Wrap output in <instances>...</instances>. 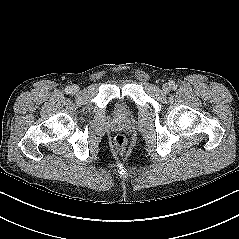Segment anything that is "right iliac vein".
<instances>
[{
    "mask_svg": "<svg viewBox=\"0 0 239 239\" xmlns=\"http://www.w3.org/2000/svg\"><path fill=\"white\" fill-rule=\"evenodd\" d=\"M71 89L74 94H77L80 90V88L77 85H74Z\"/></svg>",
    "mask_w": 239,
    "mask_h": 239,
    "instance_id": "obj_1",
    "label": "right iliac vein"
}]
</instances>
